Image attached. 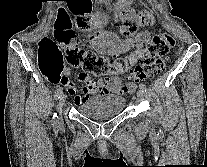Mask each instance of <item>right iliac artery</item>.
Segmentation results:
<instances>
[{
  "label": "right iliac artery",
  "mask_w": 207,
  "mask_h": 167,
  "mask_svg": "<svg viewBox=\"0 0 207 167\" xmlns=\"http://www.w3.org/2000/svg\"><path fill=\"white\" fill-rule=\"evenodd\" d=\"M61 94H62V88L60 87L59 89H57V91H56V93H55V97H56V98H60ZM52 122H53V124H55V125H56L57 122H58V116H57L56 113L53 114Z\"/></svg>",
  "instance_id": "82829eb1"
}]
</instances>
